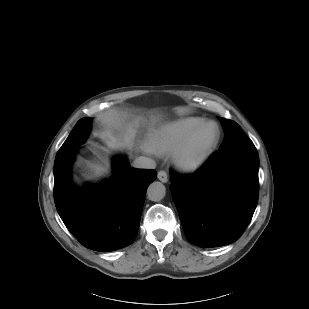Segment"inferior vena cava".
I'll list each match as a JSON object with an SVG mask.
<instances>
[{"instance_id": "obj_1", "label": "inferior vena cava", "mask_w": 309, "mask_h": 309, "mask_svg": "<svg viewBox=\"0 0 309 309\" xmlns=\"http://www.w3.org/2000/svg\"><path fill=\"white\" fill-rule=\"evenodd\" d=\"M133 166L142 169H155L156 163L151 158L141 156L135 159Z\"/></svg>"}]
</instances>
